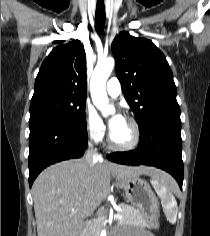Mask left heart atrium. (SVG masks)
Masks as SVG:
<instances>
[{"mask_svg": "<svg viewBox=\"0 0 210 236\" xmlns=\"http://www.w3.org/2000/svg\"><path fill=\"white\" fill-rule=\"evenodd\" d=\"M124 121V117L120 112H116L112 117L108 120V125L111 131L116 129L122 122Z\"/></svg>", "mask_w": 210, "mask_h": 236, "instance_id": "1", "label": "left heart atrium"}]
</instances>
